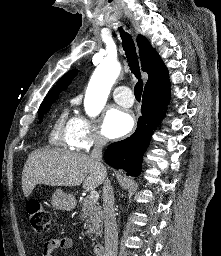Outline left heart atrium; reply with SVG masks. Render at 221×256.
<instances>
[{"label":"left heart atrium","instance_id":"obj_1","mask_svg":"<svg viewBox=\"0 0 221 256\" xmlns=\"http://www.w3.org/2000/svg\"><path fill=\"white\" fill-rule=\"evenodd\" d=\"M134 121L131 114L119 107H110L103 119V132L115 139L126 135L133 127Z\"/></svg>","mask_w":221,"mask_h":256}]
</instances>
